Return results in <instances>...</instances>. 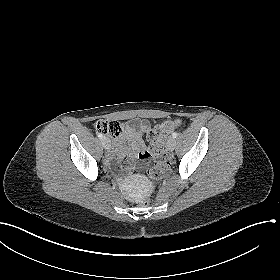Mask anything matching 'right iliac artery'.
Segmentation results:
<instances>
[{
  "instance_id": "right-iliac-artery-1",
  "label": "right iliac artery",
  "mask_w": 280,
  "mask_h": 280,
  "mask_svg": "<svg viewBox=\"0 0 280 280\" xmlns=\"http://www.w3.org/2000/svg\"><path fill=\"white\" fill-rule=\"evenodd\" d=\"M98 138L103 139V135L101 133L97 134Z\"/></svg>"
}]
</instances>
